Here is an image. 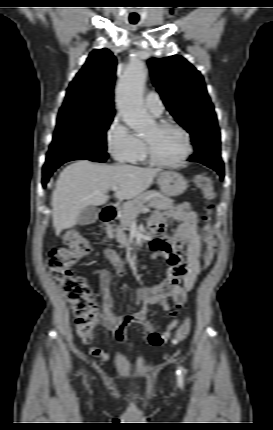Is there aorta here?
Masks as SVG:
<instances>
[{
    "label": "aorta",
    "instance_id": "1",
    "mask_svg": "<svg viewBox=\"0 0 273 430\" xmlns=\"http://www.w3.org/2000/svg\"><path fill=\"white\" fill-rule=\"evenodd\" d=\"M146 65L135 60L129 65L116 89V101L126 124L137 133H145L154 121L143 104Z\"/></svg>",
    "mask_w": 273,
    "mask_h": 430
}]
</instances>
